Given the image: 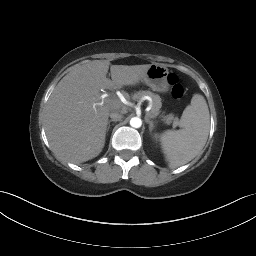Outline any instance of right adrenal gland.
<instances>
[{
    "label": "right adrenal gland",
    "instance_id": "1",
    "mask_svg": "<svg viewBox=\"0 0 256 256\" xmlns=\"http://www.w3.org/2000/svg\"><path fill=\"white\" fill-rule=\"evenodd\" d=\"M111 122H116V120H109V121L107 122V128H106L107 132H108V130H109V128H110V123H111Z\"/></svg>",
    "mask_w": 256,
    "mask_h": 256
}]
</instances>
